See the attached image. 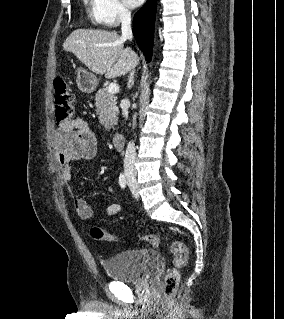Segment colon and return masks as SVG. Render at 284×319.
<instances>
[{
    "label": "colon",
    "instance_id": "1",
    "mask_svg": "<svg viewBox=\"0 0 284 319\" xmlns=\"http://www.w3.org/2000/svg\"><path fill=\"white\" fill-rule=\"evenodd\" d=\"M54 106L55 118L58 125L70 122L73 119L75 111V95L70 85L63 78L54 80ZM90 235L98 241H118L119 238L109 232H105L99 228H92ZM147 244L158 247L161 244V237L157 234H149L142 237ZM170 249L173 254V266L168 270L163 281V292L165 295H172L178 285L179 270L183 268L188 259V251L186 247L179 241H172Z\"/></svg>",
    "mask_w": 284,
    "mask_h": 319
}]
</instances>
